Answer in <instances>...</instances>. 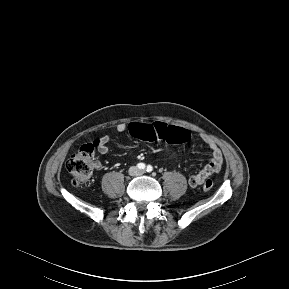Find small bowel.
Instances as JSON below:
<instances>
[{"instance_id": "1", "label": "small bowel", "mask_w": 289, "mask_h": 289, "mask_svg": "<svg viewBox=\"0 0 289 289\" xmlns=\"http://www.w3.org/2000/svg\"><path fill=\"white\" fill-rule=\"evenodd\" d=\"M130 125L126 123H120L117 125L116 130L118 132L126 131ZM204 143L211 151L212 157L210 162L197 174L189 177V185L193 188L200 186L209 176L219 172L223 164V156L218 145L210 138L203 137ZM98 140L97 150L100 154H106L108 152L109 136H103Z\"/></svg>"}]
</instances>
